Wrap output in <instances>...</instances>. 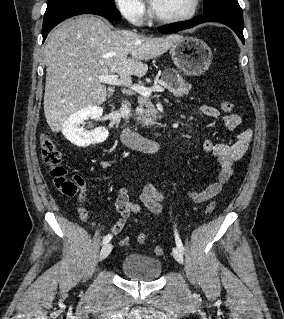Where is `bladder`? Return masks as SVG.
Masks as SVG:
<instances>
[{
	"instance_id": "31cf9c89",
	"label": "bladder",
	"mask_w": 284,
	"mask_h": 319,
	"mask_svg": "<svg viewBox=\"0 0 284 319\" xmlns=\"http://www.w3.org/2000/svg\"><path fill=\"white\" fill-rule=\"evenodd\" d=\"M120 269L131 280L148 282L156 280L161 275L162 264L157 258L129 253L123 257Z\"/></svg>"
}]
</instances>
